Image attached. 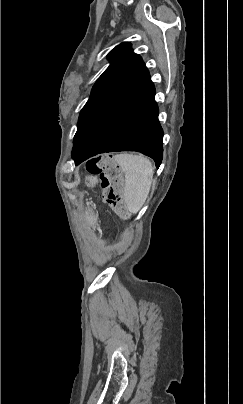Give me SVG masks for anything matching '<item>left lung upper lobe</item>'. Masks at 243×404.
<instances>
[{
    "mask_svg": "<svg viewBox=\"0 0 243 404\" xmlns=\"http://www.w3.org/2000/svg\"><path fill=\"white\" fill-rule=\"evenodd\" d=\"M108 59L109 67L97 79L80 112L72 156L78 152L99 116L150 79L141 57L133 53L127 42L116 46L108 54Z\"/></svg>",
    "mask_w": 243,
    "mask_h": 404,
    "instance_id": "obj_1",
    "label": "left lung upper lobe"
}]
</instances>
